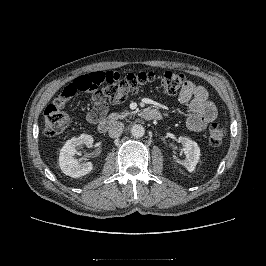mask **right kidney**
<instances>
[{
  "label": "right kidney",
  "mask_w": 266,
  "mask_h": 266,
  "mask_svg": "<svg viewBox=\"0 0 266 266\" xmlns=\"http://www.w3.org/2000/svg\"><path fill=\"white\" fill-rule=\"evenodd\" d=\"M82 144L92 146L93 137L87 134H81L79 137H73L67 140L59 154V166L62 172L70 177L78 178L90 173L93 169L91 162L79 164L75 159L76 148Z\"/></svg>",
  "instance_id": "obj_1"
}]
</instances>
